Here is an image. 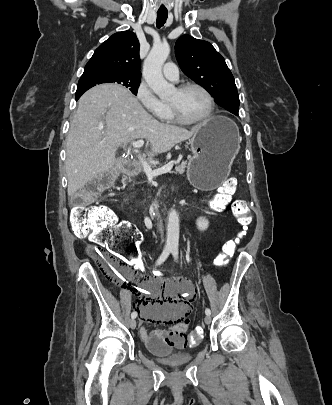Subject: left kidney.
Here are the masks:
<instances>
[{
	"instance_id": "obj_1",
	"label": "left kidney",
	"mask_w": 332,
	"mask_h": 405,
	"mask_svg": "<svg viewBox=\"0 0 332 405\" xmlns=\"http://www.w3.org/2000/svg\"><path fill=\"white\" fill-rule=\"evenodd\" d=\"M199 230L204 231L208 228L209 222L205 217H200L196 221Z\"/></svg>"
}]
</instances>
